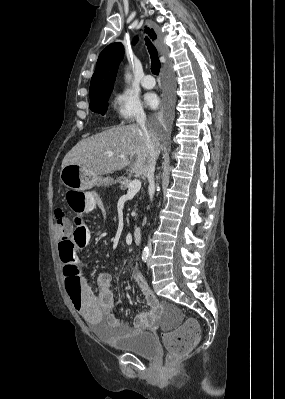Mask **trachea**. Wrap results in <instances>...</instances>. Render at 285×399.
<instances>
[{
	"label": "trachea",
	"instance_id": "obj_1",
	"mask_svg": "<svg viewBox=\"0 0 285 399\" xmlns=\"http://www.w3.org/2000/svg\"><path fill=\"white\" fill-rule=\"evenodd\" d=\"M145 40L151 57V71L153 72V74L158 75L160 71V61L158 58L157 50L147 37Z\"/></svg>",
	"mask_w": 285,
	"mask_h": 399
}]
</instances>
